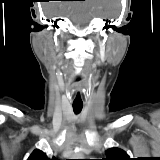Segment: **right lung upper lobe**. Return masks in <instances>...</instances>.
<instances>
[{"label": "right lung upper lobe", "mask_w": 160, "mask_h": 160, "mask_svg": "<svg viewBox=\"0 0 160 160\" xmlns=\"http://www.w3.org/2000/svg\"><path fill=\"white\" fill-rule=\"evenodd\" d=\"M27 160H57L55 157L49 159L44 152L39 149H35Z\"/></svg>", "instance_id": "obj_1"}]
</instances>
